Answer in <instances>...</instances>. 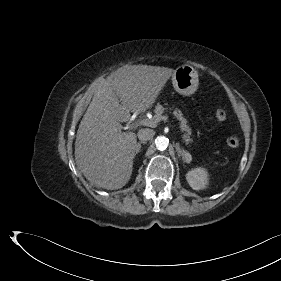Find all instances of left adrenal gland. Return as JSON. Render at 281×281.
Returning <instances> with one entry per match:
<instances>
[{
    "mask_svg": "<svg viewBox=\"0 0 281 281\" xmlns=\"http://www.w3.org/2000/svg\"><path fill=\"white\" fill-rule=\"evenodd\" d=\"M176 151H177V154L178 156H182V160L184 162H187V156L189 155V153L187 151H185L184 149H181L179 144H176Z\"/></svg>",
    "mask_w": 281,
    "mask_h": 281,
    "instance_id": "1",
    "label": "left adrenal gland"
}]
</instances>
